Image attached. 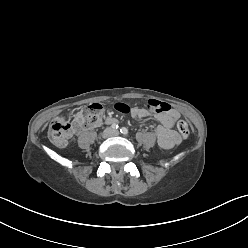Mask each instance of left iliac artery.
<instances>
[{
  "label": "left iliac artery",
  "mask_w": 248,
  "mask_h": 248,
  "mask_svg": "<svg viewBox=\"0 0 248 248\" xmlns=\"http://www.w3.org/2000/svg\"><path fill=\"white\" fill-rule=\"evenodd\" d=\"M120 132H121L122 134H124V135H127V134L129 133L128 129L125 128V127H122V128L120 129Z\"/></svg>",
  "instance_id": "obj_1"
}]
</instances>
